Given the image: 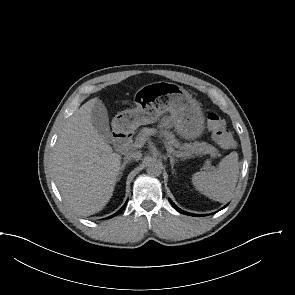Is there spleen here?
Returning a JSON list of instances; mask_svg holds the SVG:
<instances>
[{
    "label": "spleen",
    "instance_id": "spleen-1",
    "mask_svg": "<svg viewBox=\"0 0 295 295\" xmlns=\"http://www.w3.org/2000/svg\"><path fill=\"white\" fill-rule=\"evenodd\" d=\"M239 175L238 154L231 152L213 171H200L192 176L196 190L214 201L225 203L233 195Z\"/></svg>",
    "mask_w": 295,
    "mask_h": 295
}]
</instances>
